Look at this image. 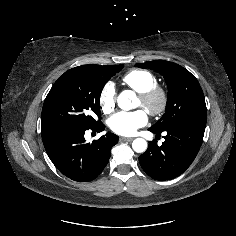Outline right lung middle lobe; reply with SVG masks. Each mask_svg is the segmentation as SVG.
<instances>
[{
    "label": "right lung middle lobe",
    "instance_id": "dd1d6c3e",
    "mask_svg": "<svg viewBox=\"0 0 236 236\" xmlns=\"http://www.w3.org/2000/svg\"><path fill=\"white\" fill-rule=\"evenodd\" d=\"M123 66L83 65L62 74L44 101L41 134L67 126L93 128L99 125L102 89ZM95 115L99 120L94 119Z\"/></svg>",
    "mask_w": 236,
    "mask_h": 236
}]
</instances>
